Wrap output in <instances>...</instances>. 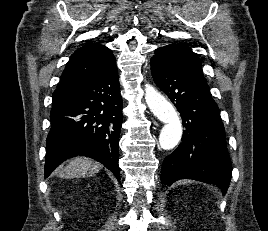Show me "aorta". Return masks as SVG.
<instances>
[{"label":"aorta","mask_w":268,"mask_h":231,"mask_svg":"<svg viewBox=\"0 0 268 231\" xmlns=\"http://www.w3.org/2000/svg\"><path fill=\"white\" fill-rule=\"evenodd\" d=\"M145 100L151 112L165 124L159 136L160 147L164 150L173 149L182 136V123L177 111L151 85H146Z\"/></svg>","instance_id":"obj_1"}]
</instances>
